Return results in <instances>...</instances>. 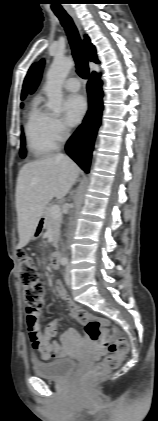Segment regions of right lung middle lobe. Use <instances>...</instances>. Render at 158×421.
<instances>
[{"mask_svg":"<svg viewBox=\"0 0 158 421\" xmlns=\"http://www.w3.org/2000/svg\"><path fill=\"white\" fill-rule=\"evenodd\" d=\"M24 145H25V141H24V137L22 136V141H21V150H20V156L21 157H25V155H26V151H25V149L23 148L24 147Z\"/></svg>","mask_w":158,"mask_h":421,"instance_id":"1","label":"right lung middle lobe"}]
</instances>
